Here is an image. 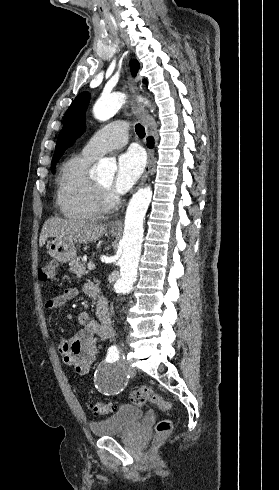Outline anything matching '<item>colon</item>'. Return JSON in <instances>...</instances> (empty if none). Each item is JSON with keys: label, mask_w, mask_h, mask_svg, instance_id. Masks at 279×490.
<instances>
[{"label": "colon", "mask_w": 279, "mask_h": 490, "mask_svg": "<svg viewBox=\"0 0 279 490\" xmlns=\"http://www.w3.org/2000/svg\"><path fill=\"white\" fill-rule=\"evenodd\" d=\"M40 278L42 280H56L57 279V262L55 260L48 261L40 269ZM131 402L137 407H143L146 403H155L160 410L168 411L170 409V402L157 394L154 389L150 387L135 390L131 393ZM89 408L92 413L99 416H106L114 412L115 406L110 401L94 400L89 403ZM171 430V422L169 419H161L157 424V431L159 432V442H168V432Z\"/></svg>", "instance_id": "5ec220e1"}]
</instances>
